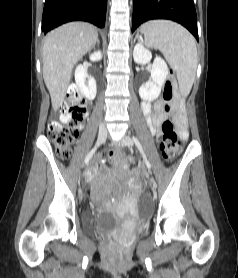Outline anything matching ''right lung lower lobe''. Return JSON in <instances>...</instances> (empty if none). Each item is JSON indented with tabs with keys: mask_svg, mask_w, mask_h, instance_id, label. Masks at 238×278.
<instances>
[{
	"mask_svg": "<svg viewBox=\"0 0 238 278\" xmlns=\"http://www.w3.org/2000/svg\"><path fill=\"white\" fill-rule=\"evenodd\" d=\"M107 0H46L42 31H48L70 21H87L100 28L105 25Z\"/></svg>",
	"mask_w": 238,
	"mask_h": 278,
	"instance_id": "1",
	"label": "right lung lower lobe"
}]
</instances>
